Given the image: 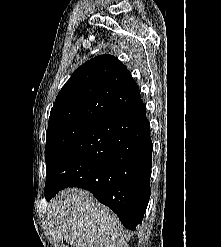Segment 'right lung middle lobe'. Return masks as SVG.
<instances>
[{
	"mask_svg": "<svg viewBox=\"0 0 221 247\" xmlns=\"http://www.w3.org/2000/svg\"><path fill=\"white\" fill-rule=\"evenodd\" d=\"M89 128L91 127L85 125H66L48 129L45 149L47 177L63 152Z\"/></svg>",
	"mask_w": 221,
	"mask_h": 247,
	"instance_id": "1",
	"label": "right lung middle lobe"
}]
</instances>
